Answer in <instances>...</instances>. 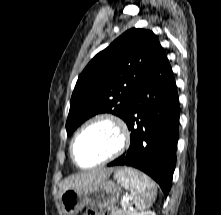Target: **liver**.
<instances>
[{"label":"liver","instance_id":"obj_1","mask_svg":"<svg viewBox=\"0 0 221 215\" xmlns=\"http://www.w3.org/2000/svg\"><path fill=\"white\" fill-rule=\"evenodd\" d=\"M112 171L113 169H103L72 176L61 184V191L64 192L67 189H86L97 182L106 180L111 175Z\"/></svg>","mask_w":221,"mask_h":215}]
</instances>
